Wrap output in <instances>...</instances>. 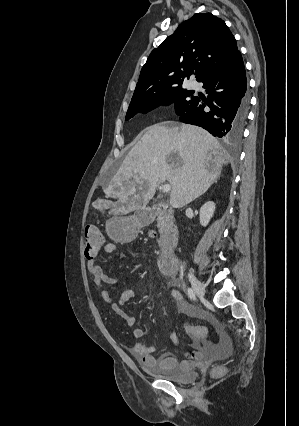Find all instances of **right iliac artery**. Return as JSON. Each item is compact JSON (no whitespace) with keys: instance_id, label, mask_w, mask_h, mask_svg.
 <instances>
[{"instance_id":"obj_1","label":"right iliac artery","mask_w":299,"mask_h":426,"mask_svg":"<svg viewBox=\"0 0 299 426\" xmlns=\"http://www.w3.org/2000/svg\"><path fill=\"white\" fill-rule=\"evenodd\" d=\"M187 293H188V297H189L191 300L195 299V293H194V291H193L191 288H188V289H187Z\"/></svg>"}]
</instances>
